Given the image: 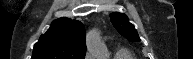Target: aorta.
<instances>
[{"label":"aorta","mask_w":193,"mask_h":59,"mask_svg":"<svg viewBox=\"0 0 193 59\" xmlns=\"http://www.w3.org/2000/svg\"><path fill=\"white\" fill-rule=\"evenodd\" d=\"M87 48L99 57H106L107 50L96 31H91L87 35Z\"/></svg>","instance_id":"aorta-1"}]
</instances>
